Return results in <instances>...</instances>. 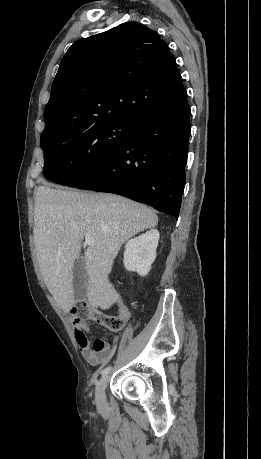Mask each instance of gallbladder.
I'll use <instances>...</instances> for the list:
<instances>
[{"mask_svg": "<svg viewBox=\"0 0 261 459\" xmlns=\"http://www.w3.org/2000/svg\"><path fill=\"white\" fill-rule=\"evenodd\" d=\"M88 272L84 256H80L73 267L74 299L80 301L86 295Z\"/></svg>", "mask_w": 261, "mask_h": 459, "instance_id": "1", "label": "gallbladder"}]
</instances>
